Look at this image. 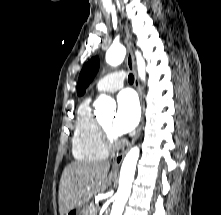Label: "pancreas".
<instances>
[{
  "label": "pancreas",
  "instance_id": "obj_1",
  "mask_svg": "<svg viewBox=\"0 0 221 215\" xmlns=\"http://www.w3.org/2000/svg\"><path fill=\"white\" fill-rule=\"evenodd\" d=\"M84 215H97V207L94 204H90L85 208Z\"/></svg>",
  "mask_w": 221,
  "mask_h": 215
}]
</instances>
